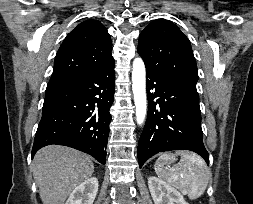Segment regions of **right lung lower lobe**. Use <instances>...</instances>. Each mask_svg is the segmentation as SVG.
Segmentation results:
<instances>
[{"instance_id": "1", "label": "right lung lower lobe", "mask_w": 253, "mask_h": 204, "mask_svg": "<svg viewBox=\"0 0 253 204\" xmlns=\"http://www.w3.org/2000/svg\"><path fill=\"white\" fill-rule=\"evenodd\" d=\"M115 62L46 89L32 157L50 144L90 154L105 164L115 88Z\"/></svg>"}]
</instances>
